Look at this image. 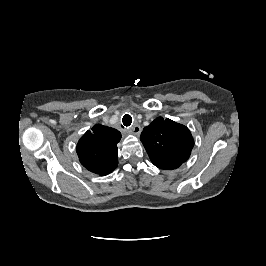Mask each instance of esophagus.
<instances>
[{
    "mask_svg": "<svg viewBox=\"0 0 266 266\" xmlns=\"http://www.w3.org/2000/svg\"><path fill=\"white\" fill-rule=\"evenodd\" d=\"M130 132L135 134V135H140L141 133V127L139 125H134L131 129Z\"/></svg>",
    "mask_w": 266,
    "mask_h": 266,
    "instance_id": "obj_1",
    "label": "esophagus"
}]
</instances>
